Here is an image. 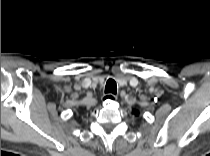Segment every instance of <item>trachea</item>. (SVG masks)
<instances>
[{"instance_id": "obj_1", "label": "trachea", "mask_w": 210, "mask_h": 156, "mask_svg": "<svg viewBox=\"0 0 210 156\" xmlns=\"http://www.w3.org/2000/svg\"><path fill=\"white\" fill-rule=\"evenodd\" d=\"M116 92H117V86L115 80L108 79L105 86V93H111L116 95Z\"/></svg>"}]
</instances>
